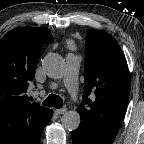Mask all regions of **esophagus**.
Listing matches in <instances>:
<instances>
[{"label": "esophagus", "instance_id": "esophagus-1", "mask_svg": "<svg viewBox=\"0 0 144 144\" xmlns=\"http://www.w3.org/2000/svg\"><path fill=\"white\" fill-rule=\"evenodd\" d=\"M55 112L60 115L66 113L67 109L66 108L56 109Z\"/></svg>", "mask_w": 144, "mask_h": 144}]
</instances>
